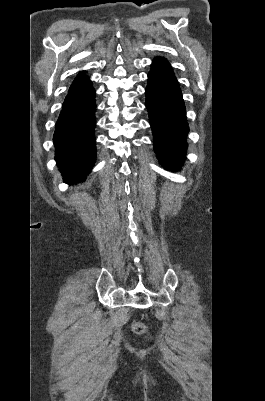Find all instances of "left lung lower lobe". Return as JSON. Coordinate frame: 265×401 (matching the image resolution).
Returning a JSON list of instances; mask_svg holds the SVG:
<instances>
[{"instance_id": "1", "label": "left lung lower lobe", "mask_w": 265, "mask_h": 401, "mask_svg": "<svg viewBox=\"0 0 265 401\" xmlns=\"http://www.w3.org/2000/svg\"><path fill=\"white\" fill-rule=\"evenodd\" d=\"M146 107L156 155L163 167L177 171L185 159L189 128L181 90L164 58L153 60L146 87Z\"/></svg>"}]
</instances>
